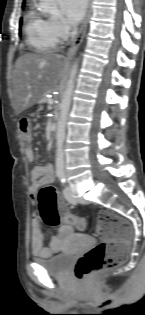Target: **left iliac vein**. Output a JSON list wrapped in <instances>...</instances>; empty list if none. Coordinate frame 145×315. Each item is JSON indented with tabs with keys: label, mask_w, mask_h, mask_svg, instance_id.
<instances>
[{
	"label": "left iliac vein",
	"mask_w": 145,
	"mask_h": 315,
	"mask_svg": "<svg viewBox=\"0 0 145 315\" xmlns=\"http://www.w3.org/2000/svg\"><path fill=\"white\" fill-rule=\"evenodd\" d=\"M63 194H64L65 199L69 203H71V204H77L78 203V199L74 196V193H73L70 186L65 187Z\"/></svg>",
	"instance_id": "1"
}]
</instances>
